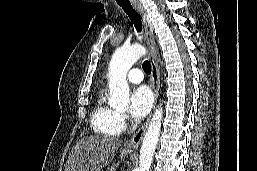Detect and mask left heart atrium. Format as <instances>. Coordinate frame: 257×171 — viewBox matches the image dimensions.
I'll use <instances>...</instances> for the list:
<instances>
[{
    "label": "left heart atrium",
    "mask_w": 257,
    "mask_h": 171,
    "mask_svg": "<svg viewBox=\"0 0 257 171\" xmlns=\"http://www.w3.org/2000/svg\"><path fill=\"white\" fill-rule=\"evenodd\" d=\"M153 104V95L146 86L137 87L130 97V114L134 119L145 117Z\"/></svg>",
    "instance_id": "left-heart-atrium-1"
}]
</instances>
